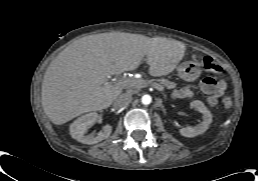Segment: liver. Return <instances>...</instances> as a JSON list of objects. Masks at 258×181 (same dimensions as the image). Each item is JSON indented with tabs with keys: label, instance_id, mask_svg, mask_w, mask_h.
Masks as SVG:
<instances>
[{
	"label": "liver",
	"instance_id": "obj_1",
	"mask_svg": "<svg viewBox=\"0 0 258 181\" xmlns=\"http://www.w3.org/2000/svg\"><path fill=\"white\" fill-rule=\"evenodd\" d=\"M185 45L163 37L111 32L83 37L67 46L48 66L42 83L44 113L56 125L108 108L122 88L107 83L110 75L131 71L143 60L154 77L171 73Z\"/></svg>",
	"mask_w": 258,
	"mask_h": 181
}]
</instances>
